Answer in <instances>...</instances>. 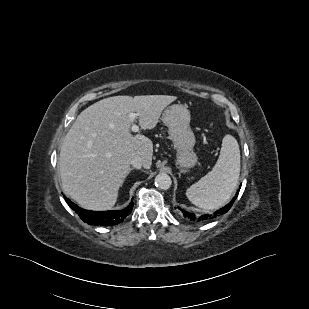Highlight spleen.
<instances>
[{"instance_id":"spleen-1","label":"spleen","mask_w":309,"mask_h":309,"mask_svg":"<svg viewBox=\"0 0 309 309\" xmlns=\"http://www.w3.org/2000/svg\"><path fill=\"white\" fill-rule=\"evenodd\" d=\"M239 174V145L233 136L226 135L222 140L220 155L215 166L186 190V196L200 208L216 209L230 199L237 187Z\"/></svg>"}]
</instances>
